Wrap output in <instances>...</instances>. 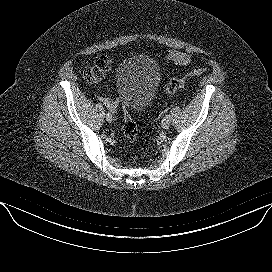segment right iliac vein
<instances>
[{"mask_svg":"<svg viewBox=\"0 0 272 272\" xmlns=\"http://www.w3.org/2000/svg\"><path fill=\"white\" fill-rule=\"evenodd\" d=\"M106 120H107L108 122H111V121L113 120L112 115L110 114V117H106Z\"/></svg>","mask_w":272,"mask_h":272,"instance_id":"obj_1","label":"right iliac vein"}]
</instances>
